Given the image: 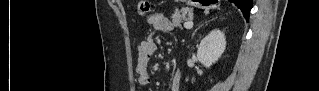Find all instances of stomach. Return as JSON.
<instances>
[{
    "label": "stomach",
    "mask_w": 319,
    "mask_h": 91,
    "mask_svg": "<svg viewBox=\"0 0 319 91\" xmlns=\"http://www.w3.org/2000/svg\"><path fill=\"white\" fill-rule=\"evenodd\" d=\"M214 2L215 1H204L201 4L200 3H195V4H197V6H199V7H202L204 5L206 8H210V7H212L211 4Z\"/></svg>",
    "instance_id": "stomach-1"
}]
</instances>
